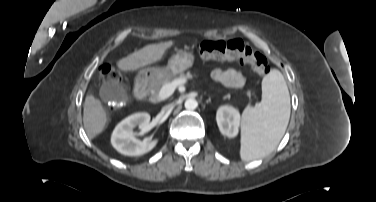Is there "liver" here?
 Segmentation results:
<instances>
[{"label":"liver","mask_w":376,"mask_h":202,"mask_svg":"<svg viewBox=\"0 0 376 202\" xmlns=\"http://www.w3.org/2000/svg\"><path fill=\"white\" fill-rule=\"evenodd\" d=\"M173 45V41L150 44L135 51L117 62V67L122 71H135L146 65L162 59L165 51ZM109 118L100 100L88 94L84 102L83 123L90 139L100 134Z\"/></svg>","instance_id":"liver-1"}]
</instances>
